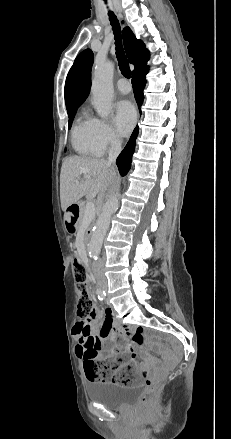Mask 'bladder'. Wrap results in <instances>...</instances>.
I'll use <instances>...</instances> for the list:
<instances>
[{"label": "bladder", "mask_w": 231, "mask_h": 439, "mask_svg": "<svg viewBox=\"0 0 231 439\" xmlns=\"http://www.w3.org/2000/svg\"><path fill=\"white\" fill-rule=\"evenodd\" d=\"M141 392L139 385H117L107 381H94L87 387L90 400L108 409H118L136 400Z\"/></svg>", "instance_id": "31cf9c89"}]
</instances>
